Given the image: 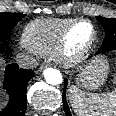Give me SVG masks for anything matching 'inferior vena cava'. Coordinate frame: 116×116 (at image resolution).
I'll return each mask as SVG.
<instances>
[{"instance_id":"602c4592","label":"inferior vena cava","mask_w":116,"mask_h":116,"mask_svg":"<svg viewBox=\"0 0 116 116\" xmlns=\"http://www.w3.org/2000/svg\"><path fill=\"white\" fill-rule=\"evenodd\" d=\"M17 63L21 68H35L38 65V61L27 54L18 55Z\"/></svg>"}]
</instances>
